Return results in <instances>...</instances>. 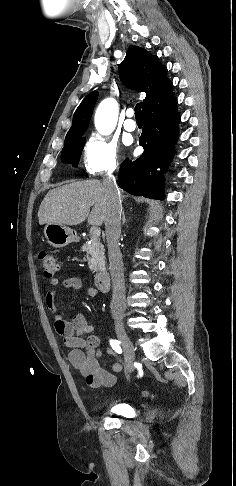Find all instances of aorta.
<instances>
[{"label":"aorta","mask_w":236,"mask_h":486,"mask_svg":"<svg viewBox=\"0 0 236 486\" xmlns=\"http://www.w3.org/2000/svg\"><path fill=\"white\" fill-rule=\"evenodd\" d=\"M118 107L114 100L103 101L97 108L95 114V127L101 134H109L116 125Z\"/></svg>","instance_id":"1"}]
</instances>
